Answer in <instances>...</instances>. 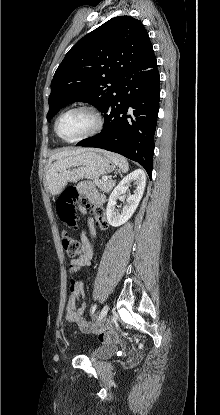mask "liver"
I'll return each mask as SVG.
<instances>
[{
    "mask_svg": "<svg viewBox=\"0 0 220 415\" xmlns=\"http://www.w3.org/2000/svg\"><path fill=\"white\" fill-rule=\"evenodd\" d=\"M84 151H85V149L64 150V151H60V152L56 153L55 155H53L52 159H61V158L67 157V156H71V155H76V154L82 153Z\"/></svg>",
    "mask_w": 220,
    "mask_h": 415,
    "instance_id": "obj_1",
    "label": "liver"
}]
</instances>
